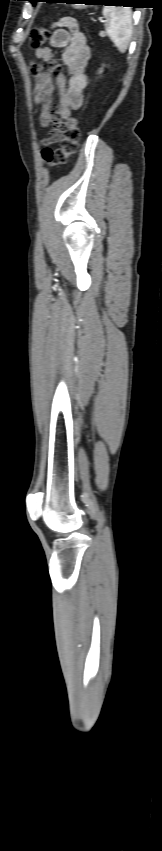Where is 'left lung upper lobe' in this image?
<instances>
[{
  "instance_id": "obj_1",
  "label": "left lung upper lobe",
  "mask_w": 162,
  "mask_h": 851,
  "mask_svg": "<svg viewBox=\"0 0 162 851\" xmlns=\"http://www.w3.org/2000/svg\"><path fill=\"white\" fill-rule=\"evenodd\" d=\"M28 1H31L33 4H35L37 2V0H28Z\"/></svg>"
}]
</instances>
